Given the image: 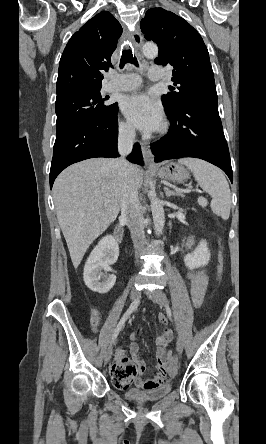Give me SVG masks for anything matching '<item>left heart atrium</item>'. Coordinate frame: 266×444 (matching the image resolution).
I'll list each match as a JSON object with an SVG mask.
<instances>
[{
    "label": "left heart atrium",
    "mask_w": 266,
    "mask_h": 444,
    "mask_svg": "<svg viewBox=\"0 0 266 444\" xmlns=\"http://www.w3.org/2000/svg\"><path fill=\"white\" fill-rule=\"evenodd\" d=\"M122 110L129 121L143 131H154L163 121V112L158 103L145 93L128 96Z\"/></svg>",
    "instance_id": "obj_1"
}]
</instances>
